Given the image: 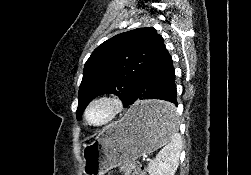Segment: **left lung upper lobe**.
Here are the masks:
<instances>
[{"mask_svg":"<svg viewBox=\"0 0 251 175\" xmlns=\"http://www.w3.org/2000/svg\"><path fill=\"white\" fill-rule=\"evenodd\" d=\"M166 51L153 27L118 34L97 47L84 66L77 119L95 97L113 93L126 103L140 78Z\"/></svg>","mask_w":251,"mask_h":175,"instance_id":"5c2ea615","label":"left lung upper lobe"}]
</instances>
